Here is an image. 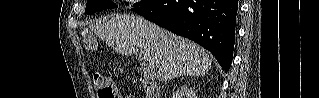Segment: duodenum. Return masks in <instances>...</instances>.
Segmentation results:
<instances>
[{
    "instance_id": "410a0bca",
    "label": "duodenum",
    "mask_w": 319,
    "mask_h": 98,
    "mask_svg": "<svg viewBox=\"0 0 319 98\" xmlns=\"http://www.w3.org/2000/svg\"><path fill=\"white\" fill-rule=\"evenodd\" d=\"M142 81L147 98H160V89L156 81L135 73Z\"/></svg>"
}]
</instances>
